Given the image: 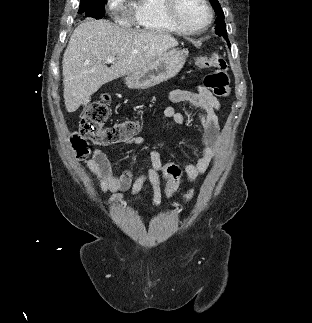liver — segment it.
Masks as SVG:
<instances>
[{
    "instance_id": "1",
    "label": "liver",
    "mask_w": 312,
    "mask_h": 323,
    "mask_svg": "<svg viewBox=\"0 0 312 323\" xmlns=\"http://www.w3.org/2000/svg\"><path fill=\"white\" fill-rule=\"evenodd\" d=\"M177 40L165 32L124 30L109 20H84L63 54V96L67 112H76L103 84L137 72L162 56ZM115 56L113 66L107 58Z\"/></svg>"
}]
</instances>
